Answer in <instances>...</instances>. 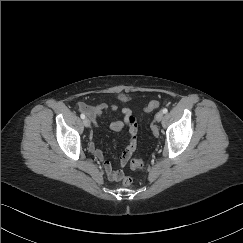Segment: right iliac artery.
Instances as JSON below:
<instances>
[{
	"instance_id": "1",
	"label": "right iliac artery",
	"mask_w": 243,
	"mask_h": 243,
	"mask_svg": "<svg viewBox=\"0 0 243 243\" xmlns=\"http://www.w3.org/2000/svg\"><path fill=\"white\" fill-rule=\"evenodd\" d=\"M80 117H81L82 119H85V115H84L83 113L80 115Z\"/></svg>"
}]
</instances>
